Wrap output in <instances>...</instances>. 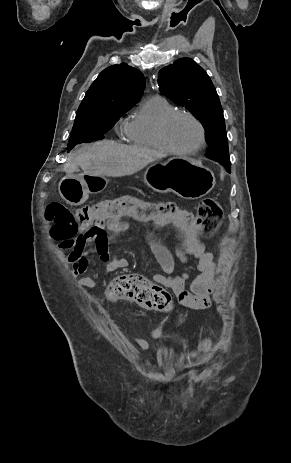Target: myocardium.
<instances>
[{
	"label": "myocardium",
	"mask_w": 291,
	"mask_h": 463,
	"mask_svg": "<svg viewBox=\"0 0 291 463\" xmlns=\"http://www.w3.org/2000/svg\"><path fill=\"white\" fill-rule=\"evenodd\" d=\"M180 116H184L191 119L198 126L200 131V138L197 145L189 149H179L175 147L174 145H172L167 135V130L170 123L175 118ZM157 133L164 150L175 155H191L197 153L204 147L206 142V129L203 123L194 114L187 111L175 110L166 115L159 123Z\"/></svg>",
	"instance_id": "obj_1"
}]
</instances>
